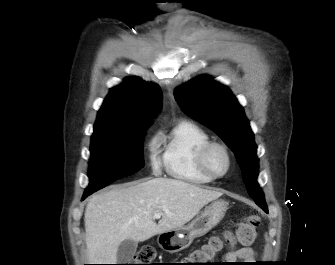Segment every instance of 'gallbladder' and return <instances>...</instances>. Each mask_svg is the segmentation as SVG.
I'll use <instances>...</instances> for the list:
<instances>
[{
    "label": "gallbladder",
    "mask_w": 335,
    "mask_h": 265,
    "mask_svg": "<svg viewBox=\"0 0 335 265\" xmlns=\"http://www.w3.org/2000/svg\"><path fill=\"white\" fill-rule=\"evenodd\" d=\"M137 249V242L131 239L124 240L117 250V261L119 264H126L130 262Z\"/></svg>",
    "instance_id": "bac80fb5"
}]
</instances>
